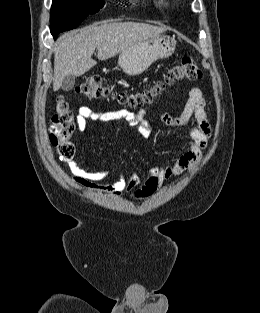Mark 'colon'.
I'll use <instances>...</instances> for the list:
<instances>
[{
  "instance_id": "obj_1",
  "label": "colon",
  "mask_w": 260,
  "mask_h": 313,
  "mask_svg": "<svg viewBox=\"0 0 260 313\" xmlns=\"http://www.w3.org/2000/svg\"><path fill=\"white\" fill-rule=\"evenodd\" d=\"M202 76L195 60L191 56H183L179 62L168 71L164 79L149 89L118 96L120 102L132 107L141 108L149 103L167 86L182 81H196ZM77 92L87 98L97 99L110 95L109 89L100 76L87 78L77 87ZM75 130V114L70 105L63 98H59L56 109L51 117L49 140L54 147L60 161L71 160L75 154L71 136Z\"/></svg>"
}]
</instances>
